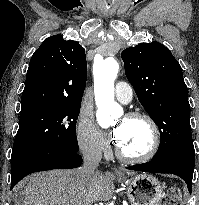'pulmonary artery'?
<instances>
[{
    "label": "pulmonary artery",
    "mask_w": 199,
    "mask_h": 205,
    "mask_svg": "<svg viewBox=\"0 0 199 205\" xmlns=\"http://www.w3.org/2000/svg\"><path fill=\"white\" fill-rule=\"evenodd\" d=\"M115 97L121 103H129L133 97V89L126 82H118L115 86Z\"/></svg>",
    "instance_id": "e3ab8cb5"
}]
</instances>
